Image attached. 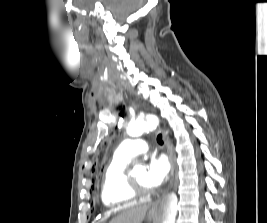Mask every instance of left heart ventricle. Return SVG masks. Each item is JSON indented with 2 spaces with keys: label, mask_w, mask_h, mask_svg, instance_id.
<instances>
[{
  "label": "left heart ventricle",
  "mask_w": 267,
  "mask_h": 223,
  "mask_svg": "<svg viewBox=\"0 0 267 223\" xmlns=\"http://www.w3.org/2000/svg\"><path fill=\"white\" fill-rule=\"evenodd\" d=\"M145 175H146V170L145 169H142V170L138 171L132 177H133V179L136 181V183L138 185H140L141 187H143L145 189H150L149 185L146 182Z\"/></svg>",
  "instance_id": "b2bd125f"
}]
</instances>
